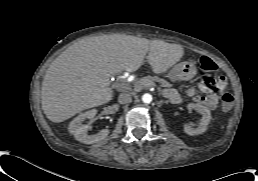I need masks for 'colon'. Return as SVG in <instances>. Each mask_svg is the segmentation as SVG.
Listing matches in <instances>:
<instances>
[{"label":"colon","mask_w":258,"mask_h":181,"mask_svg":"<svg viewBox=\"0 0 258 181\" xmlns=\"http://www.w3.org/2000/svg\"><path fill=\"white\" fill-rule=\"evenodd\" d=\"M203 64L206 69L214 68V65L212 64V62L210 60H205L203 62ZM232 101H233V98H232L231 94L225 93L222 98L223 108L227 109V110L230 109L232 107Z\"/></svg>","instance_id":"1"}]
</instances>
